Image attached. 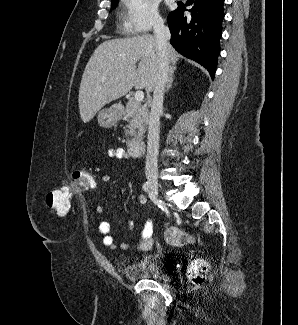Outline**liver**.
Listing matches in <instances>:
<instances>
[{
    "instance_id": "6515ba94",
    "label": "liver",
    "mask_w": 298,
    "mask_h": 325,
    "mask_svg": "<svg viewBox=\"0 0 298 325\" xmlns=\"http://www.w3.org/2000/svg\"><path fill=\"white\" fill-rule=\"evenodd\" d=\"M167 50L171 68H176L181 54L169 42ZM157 52L153 34L101 42L90 56L80 82L78 106L83 122L92 120L102 106L124 96L133 86L152 92L157 80Z\"/></svg>"
}]
</instances>
